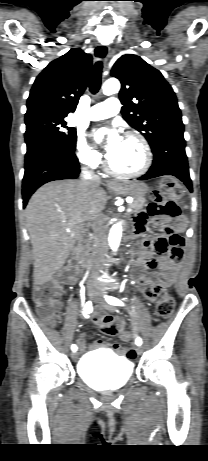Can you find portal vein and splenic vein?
Masks as SVG:
<instances>
[{"label":"portal vein and splenic vein","mask_w":208,"mask_h":461,"mask_svg":"<svg viewBox=\"0 0 208 461\" xmlns=\"http://www.w3.org/2000/svg\"><path fill=\"white\" fill-rule=\"evenodd\" d=\"M126 201H127L128 203H130V204L132 203L131 200H128V199H127ZM131 211H132V209H131L130 207H128L127 212H131Z\"/></svg>","instance_id":"1"}]
</instances>
